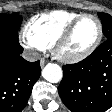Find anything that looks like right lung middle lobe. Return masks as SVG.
I'll list each match as a JSON object with an SVG mask.
<instances>
[{"label": "right lung middle lobe", "instance_id": "obj_1", "mask_svg": "<svg viewBox=\"0 0 112 112\" xmlns=\"http://www.w3.org/2000/svg\"><path fill=\"white\" fill-rule=\"evenodd\" d=\"M22 23L20 15L0 14V38L18 42V29Z\"/></svg>", "mask_w": 112, "mask_h": 112}]
</instances>
